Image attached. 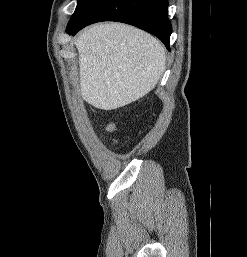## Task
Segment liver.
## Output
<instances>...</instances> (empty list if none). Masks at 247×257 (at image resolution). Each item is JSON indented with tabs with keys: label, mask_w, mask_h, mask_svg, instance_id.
<instances>
[{
	"label": "liver",
	"mask_w": 247,
	"mask_h": 257,
	"mask_svg": "<svg viewBox=\"0 0 247 257\" xmlns=\"http://www.w3.org/2000/svg\"><path fill=\"white\" fill-rule=\"evenodd\" d=\"M80 91L97 109L114 110L148 94L165 70V49L158 39L121 23L96 24L75 41Z\"/></svg>",
	"instance_id": "6515ba94"
}]
</instances>
